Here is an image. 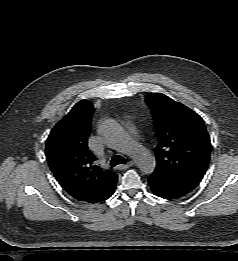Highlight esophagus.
Returning a JSON list of instances; mask_svg holds the SVG:
<instances>
[{
    "instance_id": "obj_1",
    "label": "esophagus",
    "mask_w": 238,
    "mask_h": 261,
    "mask_svg": "<svg viewBox=\"0 0 238 261\" xmlns=\"http://www.w3.org/2000/svg\"><path fill=\"white\" fill-rule=\"evenodd\" d=\"M132 165H134V163H133L132 161H129V162H128L127 164H125V165H118V166H117V169H118V170H125V169L131 167Z\"/></svg>"
}]
</instances>
